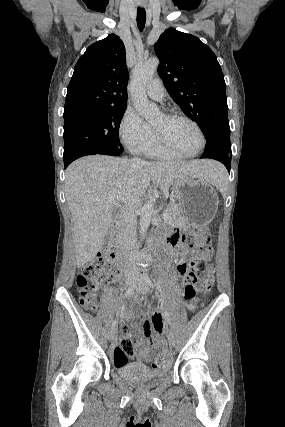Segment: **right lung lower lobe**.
I'll use <instances>...</instances> for the list:
<instances>
[{
	"label": "right lung lower lobe",
	"mask_w": 285,
	"mask_h": 427,
	"mask_svg": "<svg viewBox=\"0 0 285 427\" xmlns=\"http://www.w3.org/2000/svg\"><path fill=\"white\" fill-rule=\"evenodd\" d=\"M69 164H64V167L66 168Z\"/></svg>",
	"instance_id": "1"
}]
</instances>
